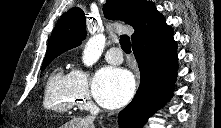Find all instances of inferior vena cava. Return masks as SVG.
<instances>
[{
  "mask_svg": "<svg viewBox=\"0 0 221 128\" xmlns=\"http://www.w3.org/2000/svg\"><path fill=\"white\" fill-rule=\"evenodd\" d=\"M100 109L96 106V105H92L90 107V116H89V120L93 121L96 117V115L99 113Z\"/></svg>",
  "mask_w": 221,
  "mask_h": 128,
  "instance_id": "602c4592",
  "label": "inferior vena cava"
}]
</instances>
